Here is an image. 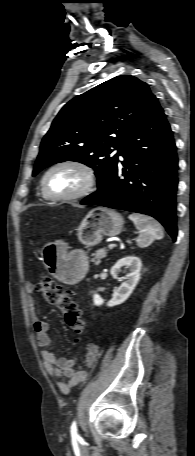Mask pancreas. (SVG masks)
<instances>
[{"mask_svg":"<svg viewBox=\"0 0 195 456\" xmlns=\"http://www.w3.org/2000/svg\"><path fill=\"white\" fill-rule=\"evenodd\" d=\"M106 255H107V250L105 248H100L94 254H92L93 258L91 261L95 265H99L101 262V259L105 258Z\"/></svg>","mask_w":195,"mask_h":456,"instance_id":"cf45deb5","label":"pancreas"}]
</instances>
